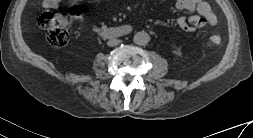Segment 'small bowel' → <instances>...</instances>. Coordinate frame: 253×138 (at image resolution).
<instances>
[{
  "mask_svg": "<svg viewBox=\"0 0 253 138\" xmlns=\"http://www.w3.org/2000/svg\"><path fill=\"white\" fill-rule=\"evenodd\" d=\"M47 6H53L54 0H45ZM188 7H194L200 13V15H194L188 22L185 16L178 18V24L187 31H192L195 27H203L208 23H212L215 20V16L212 13L209 5L203 0H191L187 2Z\"/></svg>",
  "mask_w": 253,
  "mask_h": 138,
  "instance_id": "1",
  "label": "small bowel"
}]
</instances>
